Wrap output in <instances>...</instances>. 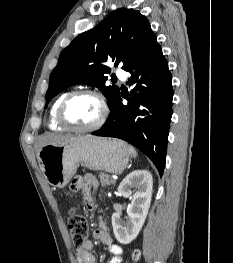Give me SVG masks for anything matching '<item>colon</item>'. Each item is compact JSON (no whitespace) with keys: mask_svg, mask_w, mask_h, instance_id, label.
Segmentation results:
<instances>
[{"mask_svg":"<svg viewBox=\"0 0 233 263\" xmlns=\"http://www.w3.org/2000/svg\"><path fill=\"white\" fill-rule=\"evenodd\" d=\"M67 223L73 244L76 247H81L88 238V223L86 219L82 215L71 209L69 211ZM139 259L140 252L138 250H135L132 253V261L136 263Z\"/></svg>","mask_w":233,"mask_h":263,"instance_id":"colon-1","label":"colon"}]
</instances>
